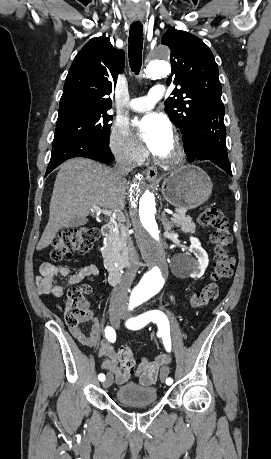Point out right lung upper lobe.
<instances>
[{"label":"right lung upper lobe","mask_w":271,"mask_h":459,"mask_svg":"<svg viewBox=\"0 0 271 459\" xmlns=\"http://www.w3.org/2000/svg\"><path fill=\"white\" fill-rule=\"evenodd\" d=\"M125 55L107 37L91 39L75 57L63 88L59 112L74 110L107 111L112 105L107 95L123 72Z\"/></svg>","instance_id":"cb5924a9"}]
</instances>
